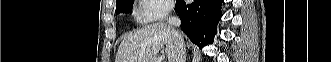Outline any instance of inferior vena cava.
<instances>
[{"label": "inferior vena cava", "instance_id": "602c4592", "mask_svg": "<svg viewBox=\"0 0 331 62\" xmlns=\"http://www.w3.org/2000/svg\"><path fill=\"white\" fill-rule=\"evenodd\" d=\"M168 26L172 29L175 38V62H185L186 61V48L184 39L179 32L175 30L176 27H179L181 21L178 17L170 16L167 19Z\"/></svg>", "mask_w": 331, "mask_h": 62}]
</instances>
